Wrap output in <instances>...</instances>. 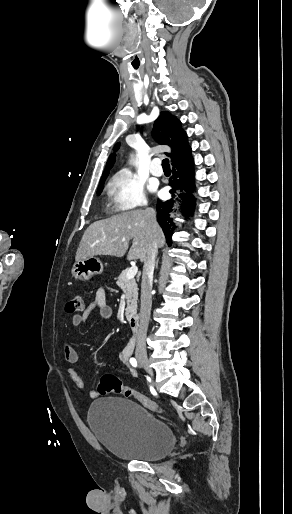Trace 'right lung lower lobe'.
Segmentation results:
<instances>
[{"instance_id": "right-lung-lower-lobe-1", "label": "right lung lower lobe", "mask_w": 292, "mask_h": 514, "mask_svg": "<svg viewBox=\"0 0 292 514\" xmlns=\"http://www.w3.org/2000/svg\"><path fill=\"white\" fill-rule=\"evenodd\" d=\"M172 177L169 179V185L172 187L170 193L174 195L177 190H185L186 195L182 198L183 215H192L194 211L195 198L192 195L194 191V161L191 153L177 162L172 164ZM184 194H180L182 197ZM174 200L157 202V221L163 229L167 243L171 244V236L175 228V224L169 217L172 211Z\"/></svg>"}]
</instances>
